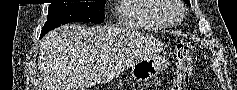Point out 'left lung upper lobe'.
I'll list each match as a JSON object with an SVG mask.
<instances>
[{"label": "left lung upper lobe", "instance_id": "left-lung-upper-lobe-1", "mask_svg": "<svg viewBox=\"0 0 237 90\" xmlns=\"http://www.w3.org/2000/svg\"><path fill=\"white\" fill-rule=\"evenodd\" d=\"M186 4L190 5L189 0H184Z\"/></svg>", "mask_w": 237, "mask_h": 90}]
</instances>
